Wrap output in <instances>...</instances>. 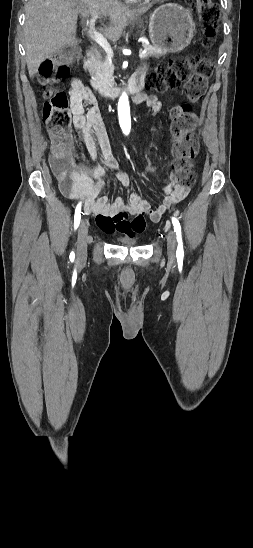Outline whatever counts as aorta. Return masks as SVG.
Wrapping results in <instances>:
<instances>
[{
	"instance_id": "aorta-1",
	"label": "aorta",
	"mask_w": 253,
	"mask_h": 548,
	"mask_svg": "<svg viewBox=\"0 0 253 548\" xmlns=\"http://www.w3.org/2000/svg\"><path fill=\"white\" fill-rule=\"evenodd\" d=\"M118 113L121 127L124 133H128L130 129V108L128 96L126 93H123L119 98Z\"/></svg>"
}]
</instances>
